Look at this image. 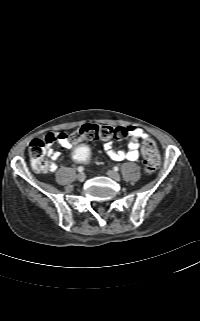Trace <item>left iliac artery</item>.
I'll use <instances>...</instances> for the list:
<instances>
[{"mask_svg":"<svg viewBox=\"0 0 200 321\" xmlns=\"http://www.w3.org/2000/svg\"><path fill=\"white\" fill-rule=\"evenodd\" d=\"M114 170H115V171H118V170H119V168H118L117 166H115V167H114Z\"/></svg>","mask_w":200,"mask_h":321,"instance_id":"left-iliac-artery-1","label":"left iliac artery"}]
</instances>
